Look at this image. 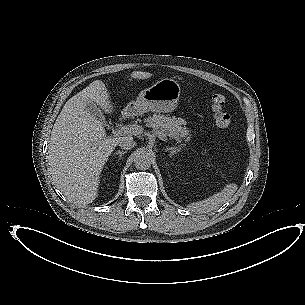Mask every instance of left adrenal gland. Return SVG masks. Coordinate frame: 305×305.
Here are the masks:
<instances>
[{
    "label": "left adrenal gland",
    "mask_w": 305,
    "mask_h": 305,
    "mask_svg": "<svg viewBox=\"0 0 305 305\" xmlns=\"http://www.w3.org/2000/svg\"><path fill=\"white\" fill-rule=\"evenodd\" d=\"M166 151L170 152V154L173 156V157H177L180 153V151H176V150H172V149H167Z\"/></svg>",
    "instance_id": "1"
}]
</instances>
